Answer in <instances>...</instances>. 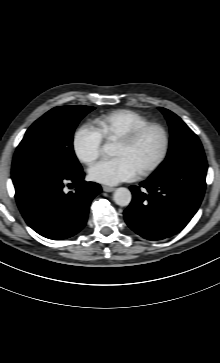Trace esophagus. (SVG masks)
<instances>
[{
  "label": "esophagus",
  "mask_w": 220,
  "mask_h": 363,
  "mask_svg": "<svg viewBox=\"0 0 220 363\" xmlns=\"http://www.w3.org/2000/svg\"><path fill=\"white\" fill-rule=\"evenodd\" d=\"M103 190L105 192H113L115 190L114 187H109V186H103Z\"/></svg>",
  "instance_id": "34e87169"
}]
</instances>
